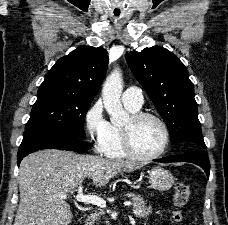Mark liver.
Returning a JSON list of instances; mask_svg holds the SVG:
<instances>
[{"mask_svg":"<svg viewBox=\"0 0 228 225\" xmlns=\"http://www.w3.org/2000/svg\"><path fill=\"white\" fill-rule=\"evenodd\" d=\"M138 169L133 161H113L71 151L45 149L25 157L19 167L20 203L14 225H69L70 207L59 195H73L86 177L104 187L118 173Z\"/></svg>","mask_w":228,"mask_h":225,"instance_id":"obj_1","label":"liver"}]
</instances>
